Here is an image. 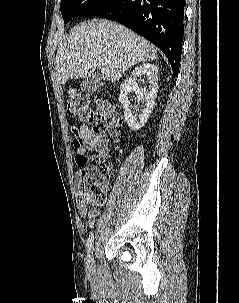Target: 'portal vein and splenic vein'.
Here are the masks:
<instances>
[{
	"instance_id": "1",
	"label": "portal vein and splenic vein",
	"mask_w": 239,
	"mask_h": 303,
	"mask_svg": "<svg viewBox=\"0 0 239 303\" xmlns=\"http://www.w3.org/2000/svg\"><path fill=\"white\" fill-rule=\"evenodd\" d=\"M105 63H110V60L109 59H105Z\"/></svg>"
}]
</instances>
